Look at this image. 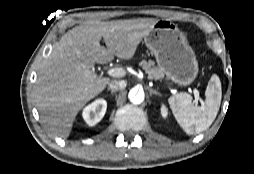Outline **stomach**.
Segmentation results:
<instances>
[{
	"instance_id": "stomach-1",
	"label": "stomach",
	"mask_w": 254,
	"mask_h": 174,
	"mask_svg": "<svg viewBox=\"0 0 254 174\" xmlns=\"http://www.w3.org/2000/svg\"><path fill=\"white\" fill-rule=\"evenodd\" d=\"M144 43L156 58L160 71L179 86H188L197 77L199 67L193 49L177 25L158 20L144 37Z\"/></svg>"
}]
</instances>
